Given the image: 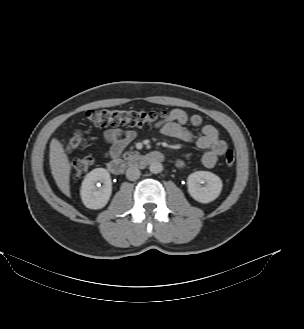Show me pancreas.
Wrapping results in <instances>:
<instances>
[{"instance_id":"obj_1","label":"pancreas","mask_w":304,"mask_h":329,"mask_svg":"<svg viewBox=\"0 0 304 329\" xmlns=\"http://www.w3.org/2000/svg\"><path fill=\"white\" fill-rule=\"evenodd\" d=\"M123 157H124L125 160H130L133 156H132V154L129 152V153H124Z\"/></svg>"}]
</instances>
